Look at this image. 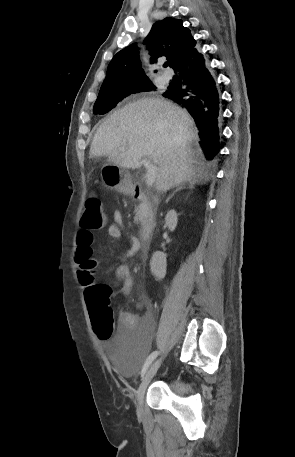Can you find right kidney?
<instances>
[{
    "instance_id": "ca27d5eb",
    "label": "right kidney",
    "mask_w": 295,
    "mask_h": 457,
    "mask_svg": "<svg viewBox=\"0 0 295 457\" xmlns=\"http://www.w3.org/2000/svg\"><path fill=\"white\" fill-rule=\"evenodd\" d=\"M177 213L175 210H170L166 217L165 222L170 231H174L177 226ZM166 255L163 252L157 251L153 254L150 261V268L152 274L159 280L163 279L166 275Z\"/></svg>"
}]
</instances>
